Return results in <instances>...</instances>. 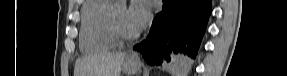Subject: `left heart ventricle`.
Masks as SVG:
<instances>
[{"label": "left heart ventricle", "instance_id": "obj_1", "mask_svg": "<svg viewBox=\"0 0 287 76\" xmlns=\"http://www.w3.org/2000/svg\"><path fill=\"white\" fill-rule=\"evenodd\" d=\"M115 13L119 24L129 32L138 31L130 22L128 17V9L126 6L119 4L115 6Z\"/></svg>", "mask_w": 287, "mask_h": 76}]
</instances>
